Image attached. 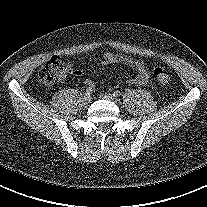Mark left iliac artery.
<instances>
[{
	"instance_id": "obj_1",
	"label": "left iliac artery",
	"mask_w": 207,
	"mask_h": 207,
	"mask_svg": "<svg viewBox=\"0 0 207 207\" xmlns=\"http://www.w3.org/2000/svg\"><path fill=\"white\" fill-rule=\"evenodd\" d=\"M114 95L119 97L121 95V92L119 90H115Z\"/></svg>"
}]
</instances>
